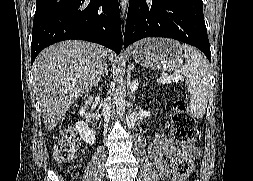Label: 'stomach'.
Instances as JSON below:
<instances>
[{"instance_id":"1","label":"stomach","mask_w":253,"mask_h":181,"mask_svg":"<svg viewBox=\"0 0 253 181\" xmlns=\"http://www.w3.org/2000/svg\"><path fill=\"white\" fill-rule=\"evenodd\" d=\"M182 49L180 44L167 38H147L138 42L132 49L136 63L149 69L163 71L177 70L181 67Z\"/></svg>"}]
</instances>
